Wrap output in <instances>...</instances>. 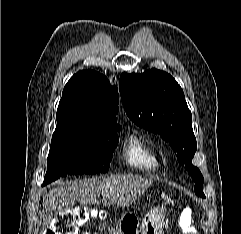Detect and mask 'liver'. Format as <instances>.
Returning <instances> with one entry per match:
<instances>
[{"label": "liver", "mask_w": 241, "mask_h": 234, "mask_svg": "<svg viewBox=\"0 0 241 234\" xmlns=\"http://www.w3.org/2000/svg\"><path fill=\"white\" fill-rule=\"evenodd\" d=\"M152 179L132 174L108 178L80 180L58 187L43 195V229L53 221L54 212L67 210L75 201L83 204L98 203L102 196L105 206L126 207L135 202L150 186Z\"/></svg>", "instance_id": "6515ba94"}]
</instances>
